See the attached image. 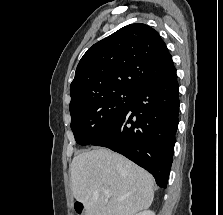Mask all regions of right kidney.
Masks as SVG:
<instances>
[{"mask_svg": "<svg viewBox=\"0 0 223 215\" xmlns=\"http://www.w3.org/2000/svg\"><path fill=\"white\" fill-rule=\"evenodd\" d=\"M135 215H155V213L151 211V209H144V211H139V213H135Z\"/></svg>", "mask_w": 223, "mask_h": 215, "instance_id": "right-kidney-1", "label": "right kidney"}]
</instances>
